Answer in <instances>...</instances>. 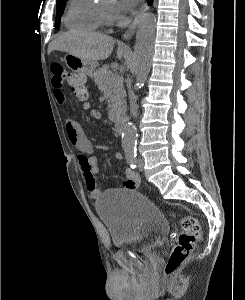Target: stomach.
<instances>
[{
	"label": "stomach",
	"mask_w": 245,
	"mask_h": 300,
	"mask_svg": "<svg viewBox=\"0 0 245 300\" xmlns=\"http://www.w3.org/2000/svg\"><path fill=\"white\" fill-rule=\"evenodd\" d=\"M64 61L67 67L72 71L83 73L90 77L95 75L98 66V63L95 61L84 60L70 53L65 56Z\"/></svg>",
	"instance_id": "1"
}]
</instances>
